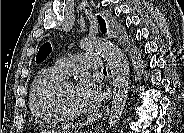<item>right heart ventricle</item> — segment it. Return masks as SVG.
I'll list each match as a JSON object with an SVG mask.
<instances>
[{
    "mask_svg": "<svg viewBox=\"0 0 184 133\" xmlns=\"http://www.w3.org/2000/svg\"><path fill=\"white\" fill-rule=\"evenodd\" d=\"M63 78L56 67H51L41 71L32 85L30 107L45 125L55 126L63 121L56 106V93Z\"/></svg>",
    "mask_w": 184,
    "mask_h": 133,
    "instance_id": "right-heart-ventricle-1",
    "label": "right heart ventricle"
}]
</instances>
